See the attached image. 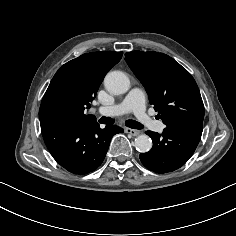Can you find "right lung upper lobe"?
Returning <instances> with one entry per match:
<instances>
[{"mask_svg": "<svg viewBox=\"0 0 236 236\" xmlns=\"http://www.w3.org/2000/svg\"><path fill=\"white\" fill-rule=\"evenodd\" d=\"M122 52L87 53L64 64L54 75L39 110L40 122L59 117L71 123L96 121L85 115L105 74L117 64Z\"/></svg>", "mask_w": 236, "mask_h": 236, "instance_id": "right-lung-upper-lobe-1", "label": "right lung upper lobe"}]
</instances>
